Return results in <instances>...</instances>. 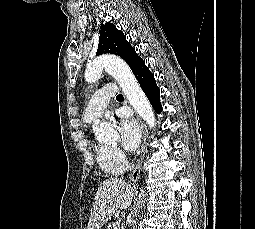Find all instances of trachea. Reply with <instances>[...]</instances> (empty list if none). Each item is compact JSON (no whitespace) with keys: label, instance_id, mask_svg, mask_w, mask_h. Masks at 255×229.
Masks as SVG:
<instances>
[{"label":"trachea","instance_id":"1","mask_svg":"<svg viewBox=\"0 0 255 229\" xmlns=\"http://www.w3.org/2000/svg\"><path fill=\"white\" fill-rule=\"evenodd\" d=\"M121 98H123V95H122V94H119V95H117V97H116V99H121Z\"/></svg>","mask_w":255,"mask_h":229}]
</instances>
